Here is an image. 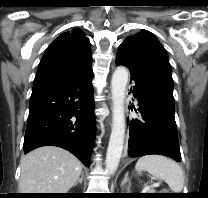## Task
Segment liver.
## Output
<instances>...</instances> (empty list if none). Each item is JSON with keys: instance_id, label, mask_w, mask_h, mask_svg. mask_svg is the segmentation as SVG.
Masks as SVG:
<instances>
[{"instance_id": "liver-1", "label": "liver", "mask_w": 208, "mask_h": 198, "mask_svg": "<svg viewBox=\"0 0 208 198\" xmlns=\"http://www.w3.org/2000/svg\"><path fill=\"white\" fill-rule=\"evenodd\" d=\"M81 162L55 146L37 148L21 159V193H67L79 179Z\"/></svg>"}]
</instances>
